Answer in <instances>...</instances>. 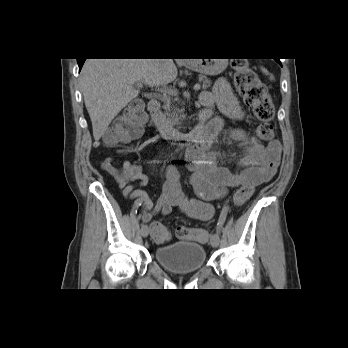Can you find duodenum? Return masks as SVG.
I'll use <instances>...</instances> for the list:
<instances>
[{
    "instance_id": "obj_1",
    "label": "duodenum",
    "mask_w": 348,
    "mask_h": 348,
    "mask_svg": "<svg viewBox=\"0 0 348 348\" xmlns=\"http://www.w3.org/2000/svg\"><path fill=\"white\" fill-rule=\"evenodd\" d=\"M148 111L153 127L164 138L190 143L194 147H205L214 137L210 124H203L210 118L211 109L205 108L199 116L201 124L187 132L178 131L164 121L161 115V104L159 100L151 99L148 102Z\"/></svg>"
}]
</instances>
